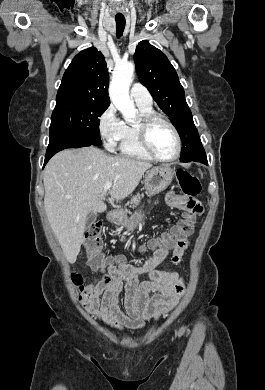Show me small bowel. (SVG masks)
<instances>
[{"instance_id": "c3829d8e", "label": "small bowel", "mask_w": 265, "mask_h": 390, "mask_svg": "<svg viewBox=\"0 0 265 390\" xmlns=\"http://www.w3.org/2000/svg\"><path fill=\"white\" fill-rule=\"evenodd\" d=\"M166 202L185 214L198 215L202 212V206L195 197L170 192ZM177 233L178 225L142 246L141 251L150 249L152 255L141 266L127 263L122 255L108 258L107 273L87 289L90 298L85 309L88 313L120 331L141 329L148 321L167 315L184 292V280L177 272L159 270L158 266L165 264L170 253L174 264L183 256L188 241L186 237H177ZM143 274L150 279L139 282L138 277ZM123 289L126 313L119 306V295ZM151 293L154 295L150 297Z\"/></svg>"}]
</instances>
